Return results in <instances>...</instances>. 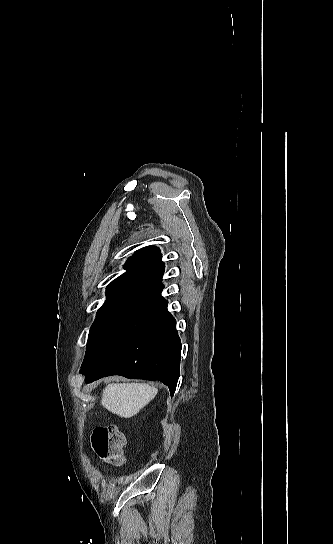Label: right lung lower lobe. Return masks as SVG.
<instances>
[{"mask_svg": "<svg viewBox=\"0 0 333 544\" xmlns=\"http://www.w3.org/2000/svg\"><path fill=\"white\" fill-rule=\"evenodd\" d=\"M181 342L176 321L167 309L142 334L114 351L104 361L82 368L86 382L121 375L130 379L158 380L174 395L180 375Z\"/></svg>", "mask_w": 333, "mask_h": 544, "instance_id": "98d812e1", "label": "right lung lower lobe"}]
</instances>
